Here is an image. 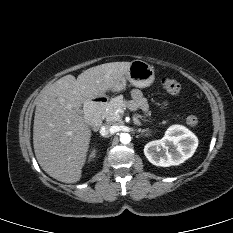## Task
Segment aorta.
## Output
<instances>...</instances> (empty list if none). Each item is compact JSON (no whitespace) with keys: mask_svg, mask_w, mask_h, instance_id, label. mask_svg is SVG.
I'll return each instance as SVG.
<instances>
[{"mask_svg":"<svg viewBox=\"0 0 233 233\" xmlns=\"http://www.w3.org/2000/svg\"><path fill=\"white\" fill-rule=\"evenodd\" d=\"M130 141H131V136H130V134H128V133H122V134L120 135V142H121L122 144H128V143H130Z\"/></svg>","mask_w":233,"mask_h":233,"instance_id":"obj_1","label":"aorta"}]
</instances>
